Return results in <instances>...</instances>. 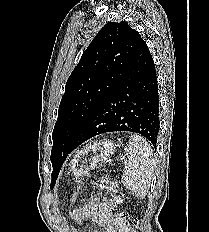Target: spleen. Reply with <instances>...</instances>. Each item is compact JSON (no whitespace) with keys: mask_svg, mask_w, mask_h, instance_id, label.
<instances>
[{"mask_svg":"<svg viewBox=\"0 0 209 232\" xmlns=\"http://www.w3.org/2000/svg\"><path fill=\"white\" fill-rule=\"evenodd\" d=\"M125 152L129 158L122 176V183L139 198L147 194L153 177V151L147 141L139 136H131Z\"/></svg>","mask_w":209,"mask_h":232,"instance_id":"3e777b00","label":"spleen"}]
</instances>
